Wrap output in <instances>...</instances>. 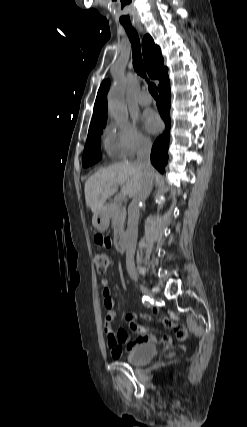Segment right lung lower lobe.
<instances>
[{"label":"right lung lower lobe","mask_w":247,"mask_h":427,"mask_svg":"<svg viewBox=\"0 0 247 427\" xmlns=\"http://www.w3.org/2000/svg\"><path fill=\"white\" fill-rule=\"evenodd\" d=\"M159 90V101L157 102V107L159 109L160 115L165 122V131L159 136L153 144L151 151V162L152 164L160 171H164V167L167 163L168 155V145H169V136H170V82L169 79L165 81L162 85L158 87Z\"/></svg>","instance_id":"right-lung-lower-lobe-1"}]
</instances>
